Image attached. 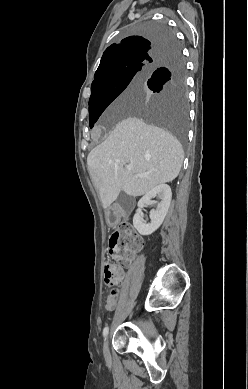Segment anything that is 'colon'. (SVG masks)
<instances>
[{"mask_svg": "<svg viewBox=\"0 0 248 389\" xmlns=\"http://www.w3.org/2000/svg\"><path fill=\"white\" fill-rule=\"evenodd\" d=\"M139 247L140 239L128 225H124L112 234L108 244V253L111 257L121 259V261H132V253L136 252ZM104 275L106 284L114 287L120 281L122 271L116 264L109 262L104 267ZM110 294H116L115 289H112Z\"/></svg>", "mask_w": 248, "mask_h": 389, "instance_id": "colon-1", "label": "colon"}]
</instances>
